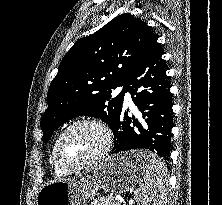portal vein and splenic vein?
<instances>
[{
    "label": "portal vein and splenic vein",
    "instance_id": "18ae733b",
    "mask_svg": "<svg viewBox=\"0 0 222 205\" xmlns=\"http://www.w3.org/2000/svg\"><path fill=\"white\" fill-rule=\"evenodd\" d=\"M116 198H117L119 201H124L121 196H117Z\"/></svg>",
    "mask_w": 222,
    "mask_h": 205
}]
</instances>
